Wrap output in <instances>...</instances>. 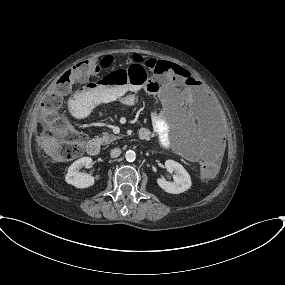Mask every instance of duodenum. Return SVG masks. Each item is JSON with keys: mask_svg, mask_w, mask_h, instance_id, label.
I'll return each mask as SVG.
<instances>
[{"mask_svg": "<svg viewBox=\"0 0 285 285\" xmlns=\"http://www.w3.org/2000/svg\"><path fill=\"white\" fill-rule=\"evenodd\" d=\"M144 137H145L144 134H140L139 135V138L141 140H143ZM87 152L90 155H97L100 152V141L96 140V139H93V140L89 141V143L87 145Z\"/></svg>", "mask_w": 285, "mask_h": 285, "instance_id": "410a0bca", "label": "duodenum"}]
</instances>
